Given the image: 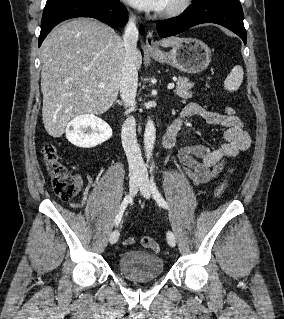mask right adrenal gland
I'll use <instances>...</instances> for the list:
<instances>
[{
	"label": "right adrenal gland",
	"instance_id": "1",
	"mask_svg": "<svg viewBox=\"0 0 284 319\" xmlns=\"http://www.w3.org/2000/svg\"><path fill=\"white\" fill-rule=\"evenodd\" d=\"M115 103H118L119 105H122V101L116 100Z\"/></svg>",
	"mask_w": 284,
	"mask_h": 319
}]
</instances>
